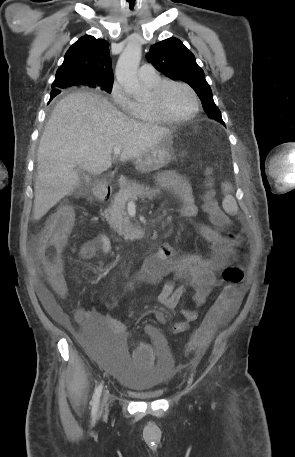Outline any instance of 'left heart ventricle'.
I'll list each match as a JSON object with an SVG mask.
<instances>
[{
  "label": "left heart ventricle",
  "instance_id": "obj_1",
  "mask_svg": "<svg viewBox=\"0 0 295 457\" xmlns=\"http://www.w3.org/2000/svg\"><path fill=\"white\" fill-rule=\"evenodd\" d=\"M161 104L165 114L171 117H183L189 114L194 106L190 92L184 87L176 85L169 86L164 90Z\"/></svg>",
  "mask_w": 295,
  "mask_h": 457
}]
</instances>
